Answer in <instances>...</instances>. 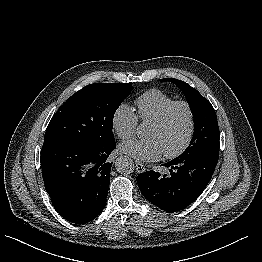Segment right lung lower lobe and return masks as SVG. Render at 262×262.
Here are the masks:
<instances>
[{
    "mask_svg": "<svg viewBox=\"0 0 262 262\" xmlns=\"http://www.w3.org/2000/svg\"><path fill=\"white\" fill-rule=\"evenodd\" d=\"M115 147V140L44 142L40 160L45 189L64 219L84 224L103 210L112 166L108 157Z\"/></svg>",
    "mask_w": 262,
    "mask_h": 262,
    "instance_id": "obj_1",
    "label": "right lung lower lobe"
}]
</instances>
